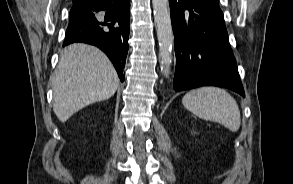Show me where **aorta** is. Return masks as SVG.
I'll list each match as a JSON object with an SVG mask.
<instances>
[{"mask_svg": "<svg viewBox=\"0 0 293 184\" xmlns=\"http://www.w3.org/2000/svg\"><path fill=\"white\" fill-rule=\"evenodd\" d=\"M152 5L159 43L161 69L167 77L172 63V46L174 41L169 11V0H152Z\"/></svg>", "mask_w": 293, "mask_h": 184, "instance_id": "aorta-1", "label": "aorta"}]
</instances>
